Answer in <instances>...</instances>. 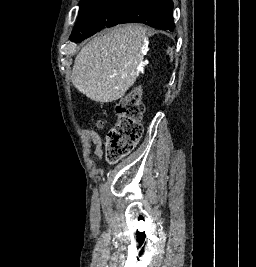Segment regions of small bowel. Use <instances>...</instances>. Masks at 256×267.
<instances>
[{
    "label": "small bowel",
    "mask_w": 256,
    "mask_h": 267,
    "mask_svg": "<svg viewBox=\"0 0 256 267\" xmlns=\"http://www.w3.org/2000/svg\"><path fill=\"white\" fill-rule=\"evenodd\" d=\"M93 142L97 145L96 153H95V161L100 162L103 158V153L101 150V138L98 134L92 133L91 135Z\"/></svg>",
    "instance_id": "1"
}]
</instances>
